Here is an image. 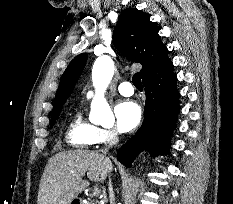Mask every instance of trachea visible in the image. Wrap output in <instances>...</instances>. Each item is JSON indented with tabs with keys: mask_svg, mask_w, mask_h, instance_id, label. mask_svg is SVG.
<instances>
[{
	"mask_svg": "<svg viewBox=\"0 0 233 204\" xmlns=\"http://www.w3.org/2000/svg\"><path fill=\"white\" fill-rule=\"evenodd\" d=\"M132 83L133 85L137 88V89H142L143 85L141 82V78H140V74L139 73H135L132 77Z\"/></svg>",
	"mask_w": 233,
	"mask_h": 204,
	"instance_id": "obj_1",
	"label": "trachea"
}]
</instances>
